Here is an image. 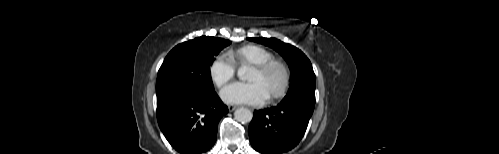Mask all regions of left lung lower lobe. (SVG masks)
Listing matches in <instances>:
<instances>
[{
    "instance_id": "left-lung-lower-lobe-1",
    "label": "left lung lower lobe",
    "mask_w": 499,
    "mask_h": 154,
    "mask_svg": "<svg viewBox=\"0 0 499 154\" xmlns=\"http://www.w3.org/2000/svg\"><path fill=\"white\" fill-rule=\"evenodd\" d=\"M315 106V90L287 93L275 107L254 111L249 125L252 147L263 154H279L294 148L302 139Z\"/></svg>"
}]
</instances>
